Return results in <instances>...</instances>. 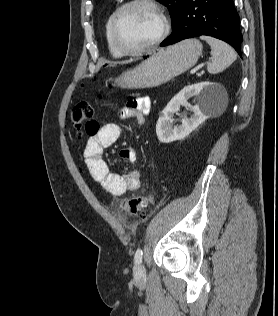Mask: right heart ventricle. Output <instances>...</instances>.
Listing matches in <instances>:
<instances>
[{
	"label": "right heart ventricle",
	"instance_id": "right-heart-ventricle-1",
	"mask_svg": "<svg viewBox=\"0 0 278 316\" xmlns=\"http://www.w3.org/2000/svg\"><path fill=\"white\" fill-rule=\"evenodd\" d=\"M116 10H117V7H114L107 14L105 21H104V25H103V30H104L105 40H106V43H107V46H108V49H109L111 55L115 58H120L124 54L116 48V46L113 43L112 36H111V19H112L113 14Z\"/></svg>",
	"mask_w": 278,
	"mask_h": 316
}]
</instances>
